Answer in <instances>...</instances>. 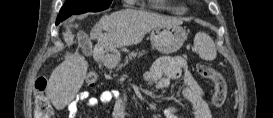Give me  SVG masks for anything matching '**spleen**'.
I'll list each match as a JSON object with an SVG mask.
<instances>
[{
	"label": "spleen",
	"instance_id": "obj_1",
	"mask_svg": "<svg viewBox=\"0 0 273 118\" xmlns=\"http://www.w3.org/2000/svg\"><path fill=\"white\" fill-rule=\"evenodd\" d=\"M194 50L201 59L206 61H212L217 56L214 41L208 34L204 32H198L195 35Z\"/></svg>",
	"mask_w": 273,
	"mask_h": 118
}]
</instances>
